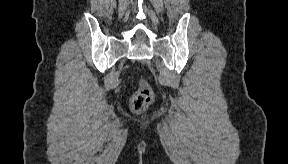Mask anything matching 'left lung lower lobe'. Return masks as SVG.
Segmentation results:
<instances>
[{
  "label": "left lung lower lobe",
  "instance_id": "left-lung-lower-lobe-1",
  "mask_svg": "<svg viewBox=\"0 0 288 164\" xmlns=\"http://www.w3.org/2000/svg\"><path fill=\"white\" fill-rule=\"evenodd\" d=\"M251 76L252 89L249 91V95L259 102L263 99L267 78L262 72H251Z\"/></svg>",
  "mask_w": 288,
  "mask_h": 164
}]
</instances>
